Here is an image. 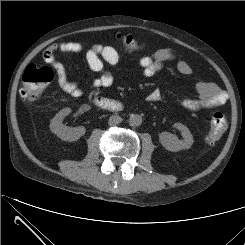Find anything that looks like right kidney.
Here are the masks:
<instances>
[{
  "instance_id": "1",
  "label": "right kidney",
  "mask_w": 245,
  "mask_h": 245,
  "mask_svg": "<svg viewBox=\"0 0 245 245\" xmlns=\"http://www.w3.org/2000/svg\"><path fill=\"white\" fill-rule=\"evenodd\" d=\"M69 113H71L70 108H64L60 110L55 115V117L51 120L50 130L54 134H56L60 139L64 141L73 142V141H77L78 139H80V137H82L85 134L86 129L85 127H82V126L77 127V128L65 126L62 122H63V119Z\"/></svg>"
}]
</instances>
